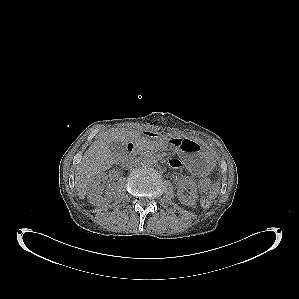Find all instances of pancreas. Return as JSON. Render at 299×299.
<instances>
[{
	"label": "pancreas",
	"instance_id": "cf45deb5",
	"mask_svg": "<svg viewBox=\"0 0 299 299\" xmlns=\"http://www.w3.org/2000/svg\"><path fill=\"white\" fill-rule=\"evenodd\" d=\"M137 144L139 147L143 148V149H147V148H156L157 147V143L146 138V137H140L137 140Z\"/></svg>",
	"mask_w": 299,
	"mask_h": 299
}]
</instances>
